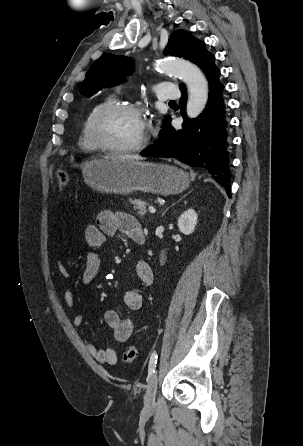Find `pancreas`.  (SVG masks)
<instances>
[{
	"instance_id": "1",
	"label": "pancreas",
	"mask_w": 303,
	"mask_h": 446,
	"mask_svg": "<svg viewBox=\"0 0 303 446\" xmlns=\"http://www.w3.org/2000/svg\"><path fill=\"white\" fill-rule=\"evenodd\" d=\"M129 201L133 205L134 210H137V212L141 216H144L147 213V210H146L147 203L145 201L140 200V199H132V198H129Z\"/></svg>"
}]
</instances>
